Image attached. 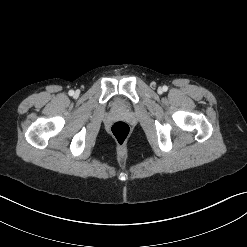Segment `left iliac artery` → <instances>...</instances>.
<instances>
[{"label": "left iliac artery", "mask_w": 247, "mask_h": 247, "mask_svg": "<svg viewBox=\"0 0 247 247\" xmlns=\"http://www.w3.org/2000/svg\"><path fill=\"white\" fill-rule=\"evenodd\" d=\"M163 91H167L168 90V87L167 86H163Z\"/></svg>", "instance_id": "left-iliac-artery-1"}]
</instances>
